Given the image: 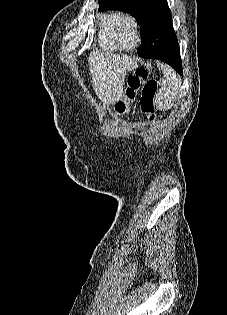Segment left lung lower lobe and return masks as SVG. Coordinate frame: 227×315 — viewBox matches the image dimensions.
<instances>
[{"label":"left lung lower lobe","mask_w":227,"mask_h":315,"mask_svg":"<svg viewBox=\"0 0 227 315\" xmlns=\"http://www.w3.org/2000/svg\"><path fill=\"white\" fill-rule=\"evenodd\" d=\"M137 52L142 58L161 60L171 65L178 73H182L179 49L173 51H161L156 48V41L152 38H148L142 39L141 46Z\"/></svg>","instance_id":"left-lung-lower-lobe-1"}]
</instances>
